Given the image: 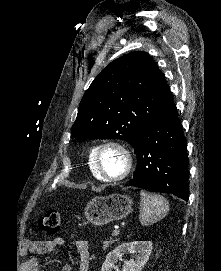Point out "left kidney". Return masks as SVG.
Listing matches in <instances>:
<instances>
[{"label":"left kidney","instance_id":"5707ae66","mask_svg":"<svg viewBox=\"0 0 221 271\" xmlns=\"http://www.w3.org/2000/svg\"><path fill=\"white\" fill-rule=\"evenodd\" d=\"M152 241H128L117 245L113 251H109L101 267V271H118L116 265L118 259L124 261L122 271H142L149 255L152 251ZM125 253H131L134 259H123Z\"/></svg>","mask_w":221,"mask_h":271}]
</instances>
